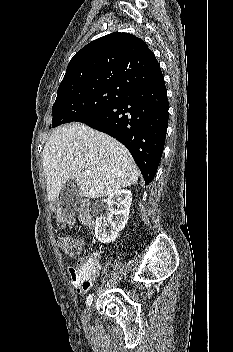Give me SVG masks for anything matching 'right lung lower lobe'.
I'll list each match as a JSON object with an SVG mask.
<instances>
[{
  "instance_id": "obj_1",
  "label": "right lung lower lobe",
  "mask_w": 233,
  "mask_h": 352,
  "mask_svg": "<svg viewBox=\"0 0 233 352\" xmlns=\"http://www.w3.org/2000/svg\"><path fill=\"white\" fill-rule=\"evenodd\" d=\"M168 108L167 90L162 77L79 122L123 143L148 185L161 160L168 127Z\"/></svg>"
}]
</instances>
